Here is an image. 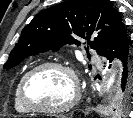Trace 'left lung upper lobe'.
Instances as JSON below:
<instances>
[{"label":"left lung upper lobe","instance_id":"1","mask_svg":"<svg viewBox=\"0 0 133 118\" xmlns=\"http://www.w3.org/2000/svg\"><path fill=\"white\" fill-rule=\"evenodd\" d=\"M122 24L119 13L108 0L64 1L39 12L23 28L4 68H12L31 55L57 51L65 44L80 46L78 38L86 39L90 47L101 54ZM130 99V89L123 92L116 90L106 113L111 116L125 115Z\"/></svg>","mask_w":133,"mask_h":118}]
</instances>
